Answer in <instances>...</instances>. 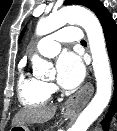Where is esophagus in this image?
Masks as SVG:
<instances>
[{
    "mask_svg": "<svg viewBox=\"0 0 117 131\" xmlns=\"http://www.w3.org/2000/svg\"><path fill=\"white\" fill-rule=\"evenodd\" d=\"M92 91L93 86L91 85V83H87L77 94L66 101L64 109L69 112L77 111L80 105V101H85L88 97H90Z\"/></svg>",
    "mask_w": 117,
    "mask_h": 131,
    "instance_id": "obj_1",
    "label": "esophagus"
}]
</instances>
